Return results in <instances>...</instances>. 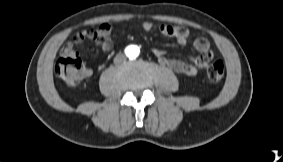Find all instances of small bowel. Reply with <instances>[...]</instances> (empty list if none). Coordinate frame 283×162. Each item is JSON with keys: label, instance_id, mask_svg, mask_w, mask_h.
Masks as SVG:
<instances>
[{"label": "small bowel", "instance_id": "obj_1", "mask_svg": "<svg viewBox=\"0 0 283 162\" xmlns=\"http://www.w3.org/2000/svg\"><path fill=\"white\" fill-rule=\"evenodd\" d=\"M140 27L145 31H150L154 28V23L151 21H143L140 23ZM159 31L164 36L175 39L180 45H185L191 37L189 30L180 26L162 24L159 26ZM85 38L93 39L104 51H108L114 44L112 25L110 23H103L97 29L77 32L73 40L63 46L61 54L63 56H77L74 47L80 44ZM193 46L200 55L189 56L187 62L178 58H168L163 50L153 49L152 52L161 65L170 68L178 74L193 77L199 70L205 69L208 66L213 56L210 50V43L206 38H196L193 42Z\"/></svg>", "mask_w": 283, "mask_h": 162}]
</instances>
